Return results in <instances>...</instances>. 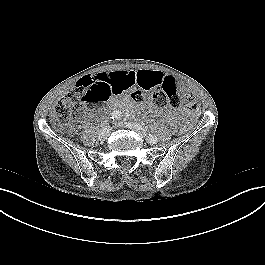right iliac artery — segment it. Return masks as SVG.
<instances>
[{
	"instance_id": "right-iliac-artery-1",
	"label": "right iliac artery",
	"mask_w": 265,
	"mask_h": 265,
	"mask_svg": "<svg viewBox=\"0 0 265 265\" xmlns=\"http://www.w3.org/2000/svg\"><path fill=\"white\" fill-rule=\"evenodd\" d=\"M120 117H121V112L114 111V112H112L110 119L116 120V119H119Z\"/></svg>"
}]
</instances>
